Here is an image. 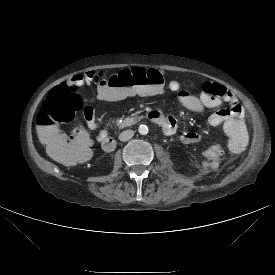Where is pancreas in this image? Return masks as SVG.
Segmentation results:
<instances>
[{
    "mask_svg": "<svg viewBox=\"0 0 275 275\" xmlns=\"http://www.w3.org/2000/svg\"><path fill=\"white\" fill-rule=\"evenodd\" d=\"M137 120H138V117L133 116V115L126 117V118L121 117L116 120V124L120 129H123L124 127L131 126V125L135 124L137 122Z\"/></svg>",
    "mask_w": 275,
    "mask_h": 275,
    "instance_id": "1",
    "label": "pancreas"
}]
</instances>
